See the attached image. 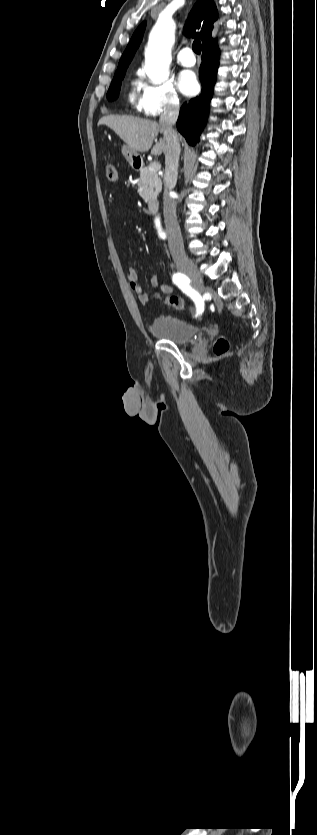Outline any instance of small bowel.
<instances>
[{
  "label": "small bowel",
  "mask_w": 317,
  "mask_h": 835,
  "mask_svg": "<svg viewBox=\"0 0 317 835\" xmlns=\"http://www.w3.org/2000/svg\"><path fill=\"white\" fill-rule=\"evenodd\" d=\"M127 275L130 282V286L138 296L140 302L142 304H146L148 302V296L145 293L143 287L138 283V273L136 269L134 267L128 268ZM150 284L153 288H159L165 294H171L174 291L172 286L166 283H162L158 276L155 274L151 275Z\"/></svg>",
  "instance_id": "c3829d8e"
}]
</instances>
